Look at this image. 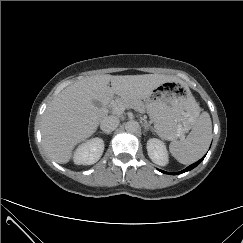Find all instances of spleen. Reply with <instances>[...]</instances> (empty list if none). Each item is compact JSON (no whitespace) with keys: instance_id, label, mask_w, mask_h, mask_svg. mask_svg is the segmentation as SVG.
<instances>
[{"instance_id":"3e777b00","label":"spleen","mask_w":243,"mask_h":243,"mask_svg":"<svg viewBox=\"0 0 243 243\" xmlns=\"http://www.w3.org/2000/svg\"><path fill=\"white\" fill-rule=\"evenodd\" d=\"M192 131L180 140L172 141L169 150L180 163L188 165L199 160L207 151L212 137V122L207 112L200 113L199 107Z\"/></svg>"}]
</instances>
